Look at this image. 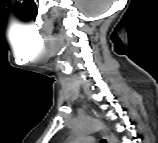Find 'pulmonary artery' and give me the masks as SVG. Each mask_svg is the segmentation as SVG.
Masks as SVG:
<instances>
[{
  "label": "pulmonary artery",
  "instance_id": "obj_1",
  "mask_svg": "<svg viewBox=\"0 0 158 143\" xmlns=\"http://www.w3.org/2000/svg\"><path fill=\"white\" fill-rule=\"evenodd\" d=\"M85 140H87L88 142H92L93 138L92 137H87V138H85Z\"/></svg>",
  "mask_w": 158,
  "mask_h": 143
}]
</instances>
